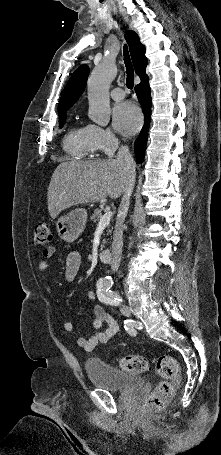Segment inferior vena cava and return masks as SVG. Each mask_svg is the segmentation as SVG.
Returning <instances> with one entry per match:
<instances>
[{"label":"inferior vena cava","mask_w":221,"mask_h":455,"mask_svg":"<svg viewBox=\"0 0 221 455\" xmlns=\"http://www.w3.org/2000/svg\"><path fill=\"white\" fill-rule=\"evenodd\" d=\"M117 162L124 166L128 176V182L118 209V215L113 235L112 242V260L111 269L113 272L117 271L121 261L122 247H123V223L128 212L130 197L135 184V162L129 152L128 146H121L117 153Z\"/></svg>","instance_id":"602c4592"}]
</instances>
